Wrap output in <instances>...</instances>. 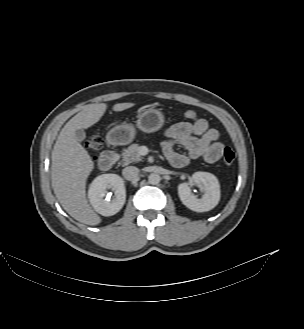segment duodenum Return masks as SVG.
<instances>
[{"label":"duodenum","mask_w":304,"mask_h":329,"mask_svg":"<svg viewBox=\"0 0 304 329\" xmlns=\"http://www.w3.org/2000/svg\"><path fill=\"white\" fill-rule=\"evenodd\" d=\"M117 161V155L108 150L104 151L99 158V168L103 171L109 170Z\"/></svg>","instance_id":"1"}]
</instances>
